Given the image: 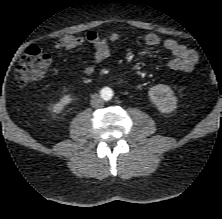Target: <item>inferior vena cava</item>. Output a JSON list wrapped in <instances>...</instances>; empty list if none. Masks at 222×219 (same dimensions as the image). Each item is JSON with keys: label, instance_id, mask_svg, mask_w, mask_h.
Here are the masks:
<instances>
[{"label": "inferior vena cava", "instance_id": "obj_1", "mask_svg": "<svg viewBox=\"0 0 222 219\" xmlns=\"http://www.w3.org/2000/svg\"><path fill=\"white\" fill-rule=\"evenodd\" d=\"M91 105H92L94 108H101V107H103V105H104V101H103V99L100 97V95L94 94V95H92V97H91Z\"/></svg>", "mask_w": 222, "mask_h": 219}]
</instances>
